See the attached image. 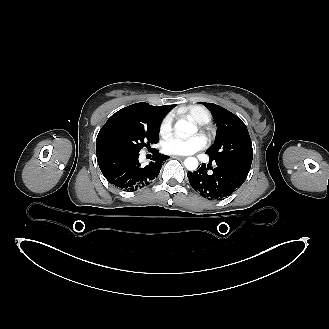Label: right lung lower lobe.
Masks as SVG:
<instances>
[{"mask_svg": "<svg viewBox=\"0 0 329 329\" xmlns=\"http://www.w3.org/2000/svg\"><path fill=\"white\" fill-rule=\"evenodd\" d=\"M139 152L111 149L97 152L98 165L107 181L124 191H136L151 184L169 156L156 152L153 161L142 166L139 162Z\"/></svg>", "mask_w": 329, "mask_h": 329, "instance_id": "right-lung-lower-lobe-1", "label": "right lung lower lobe"}]
</instances>
